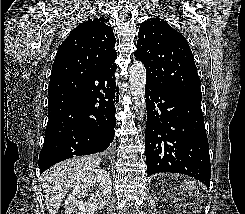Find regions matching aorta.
<instances>
[{"label":"aorta","instance_id":"1","mask_svg":"<svg viewBox=\"0 0 245 214\" xmlns=\"http://www.w3.org/2000/svg\"><path fill=\"white\" fill-rule=\"evenodd\" d=\"M129 83L134 100V109L137 112H143L145 109L146 70L141 62L136 61L130 67Z\"/></svg>","mask_w":245,"mask_h":214}]
</instances>
